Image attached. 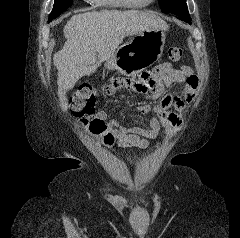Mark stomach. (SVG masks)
Here are the masks:
<instances>
[{"label":"stomach","instance_id":"1","mask_svg":"<svg viewBox=\"0 0 240 238\" xmlns=\"http://www.w3.org/2000/svg\"><path fill=\"white\" fill-rule=\"evenodd\" d=\"M165 30H145L121 45L105 67L130 76L150 67L160 59L164 50Z\"/></svg>","mask_w":240,"mask_h":238}]
</instances>
